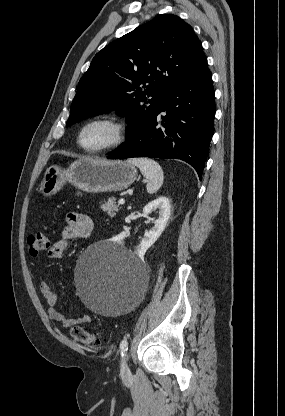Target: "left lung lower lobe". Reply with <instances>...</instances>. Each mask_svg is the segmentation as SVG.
I'll use <instances>...</instances> for the list:
<instances>
[{
    "label": "left lung lower lobe",
    "mask_w": 285,
    "mask_h": 416,
    "mask_svg": "<svg viewBox=\"0 0 285 416\" xmlns=\"http://www.w3.org/2000/svg\"><path fill=\"white\" fill-rule=\"evenodd\" d=\"M215 92L204 55L194 69L173 87L153 116L108 159L176 158L189 163L201 179L213 134ZM160 112L162 128H157Z\"/></svg>",
    "instance_id": "left-lung-lower-lobe-1"
}]
</instances>
